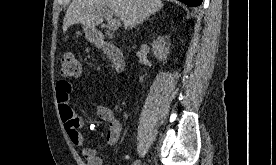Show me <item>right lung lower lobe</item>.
<instances>
[{"instance_id": "1", "label": "right lung lower lobe", "mask_w": 276, "mask_h": 165, "mask_svg": "<svg viewBox=\"0 0 276 165\" xmlns=\"http://www.w3.org/2000/svg\"><path fill=\"white\" fill-rule=\"evenodd\" d=\"M179 1L191 7L199 6L202 3V0H179Z\"/></svg>"}]
</instances>
